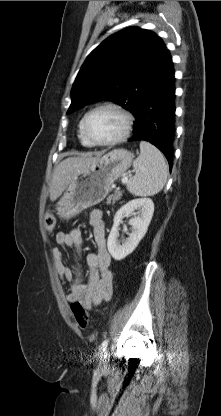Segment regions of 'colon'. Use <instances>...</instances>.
<instances>
[{
	"label": "colon",
	"mask_w": 221,
	"mask_h": 416,
	"mask_svg": "<svg viewBox=\"0 0 221 416\" xmlns=\"http://www.w3.org/2000/svg\"><path fill=\"white\" fill-rule=\"evenodd\" d=\"M56 219L53 215L49 214L45 218V228L47 231H52L55 227ZM72 314L77 322L78 326L85 329L89 325V317L85 308L79 302H72L70 305Z\"/></svg>",
	"instance_id": "5ec220e1"
}]
</instances>
